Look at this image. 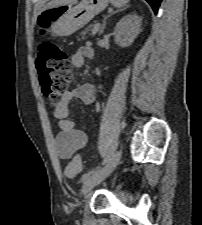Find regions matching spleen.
<instances>
[{
	"label": "spleen",
	"instance_id": "obj_1",
	"mask_svg": "<svg viewBox=\"0 0 202 225\" xmlns=\"http://www.w3.org/2000/svg\"><path fill=\"white\" fill-rule=\"evenodd\" d=\"M110 2L115 6V7H123L125 6L129 0H110Z\"/></svg>",
	"mask_w": 202,
	"mask_h": 225
}]
</instances>
